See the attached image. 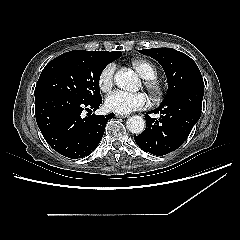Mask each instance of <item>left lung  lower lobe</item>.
Listing matches in <instances>:
<instances>
[{
    "label": "left lung lower lobe",
    "instance_id": "1",
    "mask_svg": "<svg viewBox=\"0 0 240 240\" xmlns=\"http://www.w3.org/2000/svg\"><path fill=\"white\" fill-rule=\"evenodd\" d=\"M204 86H194L174 94L152 111L158 120L145 116L146 129L135 137L145 152L161 156L177 149L186 140L201 115Z\"/></svg>",
    "mask_w": 240,
    "mask_h": 240
}]
</instances>
